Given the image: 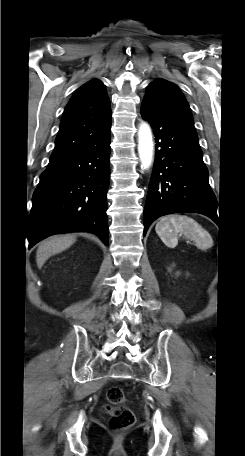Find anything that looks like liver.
Here are the masks:
<instances>
[{"mask_svg":"<svg viewBox=\"0 0 245 456\" xmlns=\"http://www.w3.org/2000/svg\"><path fill=\"white\" fill-rule=\"evenodd\" d=\"M76 240L72 234L51 237L43 241L36 254V262L38 268H41L44 263L53 255L58 254L69 248Z\"/></svg>","mask_w":245,"mask_h":456,"instance_id":"liver-1","label":"liver"}]
</instances>
